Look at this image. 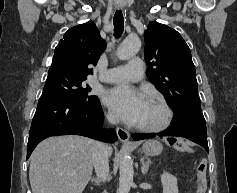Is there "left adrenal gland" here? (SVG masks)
Returning a JSON list of instances; mask_svg holds the SVG:
<instances>
[{
  "mask_svg": "<svg viewBox=\"0 0 237 193\" xmlns=\"http://www.w3.org/2000/svg\"><path fill=\"white\" fill-rule=\"evenodd\" d=\"M140 161H141V164H142L141 165V172H142L143 175H146L147 172H148L150 163H149V161H145L144 158H141Z\"/></svg>",
  "mask_w": 237,
  "mask_h": 193,
  "instance_id": "1",
  "label": "left adrenal gland"
}]
</instances>
